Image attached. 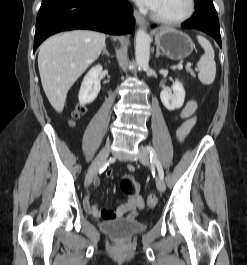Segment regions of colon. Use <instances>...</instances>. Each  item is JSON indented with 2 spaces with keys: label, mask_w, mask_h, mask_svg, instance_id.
I'll list each match as a JSON object with an SVG mask.
<instances>
[{
  "label": "colon",
  "mask_w": 247,
  "mask_h": 265,
  "mask_svg": "<svg viewBox=\"0 0 247 265\" xmlns=\"http://www.w3.org/2000/svg\"><path fill=\"white\" fill-rule=\"evenodd\" d=\"M85 112L84 106H78L76 111L74 112V119H78L82 114ZM121 189L127 195H135L138 191V184L133 179L125 178L121 181ZM158 203V199L155 195L150 194L146 199V206L147 208H154Z\"/></svg>",
  "instance_id": "5ec220e1"
}]
</instances>
